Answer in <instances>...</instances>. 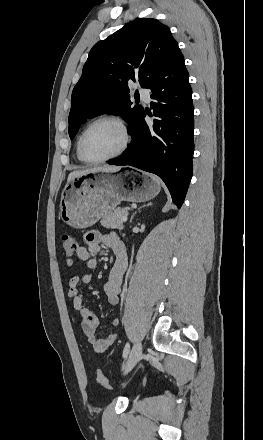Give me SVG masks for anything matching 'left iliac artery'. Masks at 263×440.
<instances>
[{
  "mask_svg": "<svg viewBox=\"0 0 263 440\" xmlns=\"http://www.w3.org/2000/svg\"><path fill=\"white\" fill-rule=\"evenodd\" d=\"M129 351H130V345H129V343H126L124 350H123V357L124 358H126L128 356Z\"/></svg>",
  "mask_w": 263,
  "mask_h": 440,
  "instance_id": "44dca946",
  "label": "left iliac artery"
}]
</instances>
